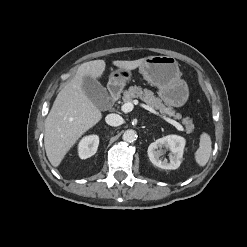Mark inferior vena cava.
Listing matches in <instances>:
<instances>
[{"instance_id": "inferior-vena-cava-1", "label": "inferior vena cava", "mask_w": 247, "mask_h": 247, "mask_svg": "<svg viewBox=\"0 0 247 247\" xmlns=\"http://www.w3.org/2000/svg\"><path fill=\"white\" fill-rule=\"evenodd\" d=\"M105 121L110 126H119L123 123V119L118 114H108L105 118Z\"/></svg>"}]
</instances>
